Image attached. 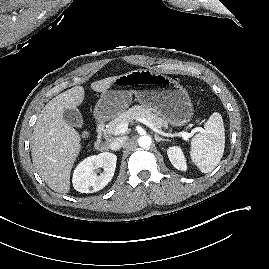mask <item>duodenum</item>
<instances>
[{"instance_id":"duodenum-1","label":"duodenum","mask_w":269,"mask_h":269,"mask_svg":"<svg viewBox=\"0 0 269 269\" xmlns=\"http://www.w3.org/2000/svg\"><path fill=\"white\" fill-rule=\"evenodd\" d=\"M109 143V135L107 132L106 122L100 120L97 124V137L95 140V148L103 151L107 148Z\"/></svg>"}]
</instances>
